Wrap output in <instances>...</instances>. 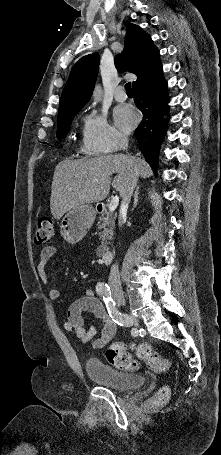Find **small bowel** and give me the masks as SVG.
<instances>
[{
    "mask_svg": "<svg viewBox=\"0 0 221 455\" xmlns=\"http://www.w3.org/2000/svg\"><path fill=\"white\" fill-rule=\"evenodd\" d=\"M55 254V247H45L41 250L36 265L37 274L46 286L48 296L52 300L60 297V291L52 286L46 269L48 266L54 265ZM84 312L92 313L96 318L102 320L103 328L100 335H98L95 326L88 329L84 327ZM63 327L65 331L73 333L81 342L90 343L93 348H100L105 345L114 337L117 330L116 323L109 317L104 304L95 296L92 289H86L82 297L70 304Z\"/></svg>",
    "mask_w": 221,
    "mask_h": 455,
    "instance_id": "obj_1",
    "label": "small bowel"
}]
</instances>
